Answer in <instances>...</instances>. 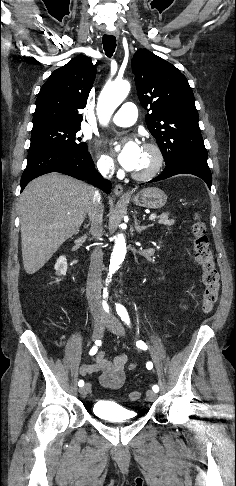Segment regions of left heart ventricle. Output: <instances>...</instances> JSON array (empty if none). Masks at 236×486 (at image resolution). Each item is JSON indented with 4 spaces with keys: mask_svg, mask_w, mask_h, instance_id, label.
<instances>
[{
    "mask_svg": "<svg viewBox=\"0 0 236 486\" xmlns=\"http://www.w3.org/2000/svg\"><path fill=\"white\" fill-rule=\"evenodd\" d=\"M154 163V155L151 151L142 148L140 159L137 167L133 170L134 172H145L149 170Z\"/></svg>",
    "mask_w": 236,
    "mask_h": 486,
    "instance_id": "obj_1",
    "label": "left heart ventricle"
}]
</instances>
